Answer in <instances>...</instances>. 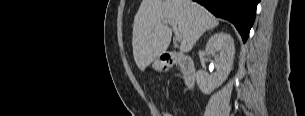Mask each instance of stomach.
<instances>
[{
	"instance_id": "stomach-1",
	"label": "stomach",
	"mask_w": 305,
	"mask_h": 116,
	"mask_svg": "<svg viewBox=\"0 0 305 116\" xmlns=\"http://www.w3.org/2000/svg\"><path fill=\"white\" fill-rule=\"evenodd\" d=\"M153 67L159 71H162L164 69V65L158 59L154 61Z\"/></svg>"
}]
</instances>
